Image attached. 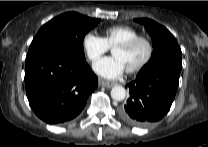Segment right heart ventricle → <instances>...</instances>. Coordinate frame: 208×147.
I'll list each match as a JSON object with an SVG mask.
<instances>
[{"mask_svg": "<svg viewBox=\"0 0 208 147\" xmlns=\"http://www.w3.org/2000/svg\"><path fill=\"white\" fill-rule=\"evenodd\" d=\"M139 36V32L131 26L117 25L105 30L104 39L109 47H116L118 44Z\"/></svg>", "mask_w": 208, "mask_h": 147, "instance_id": "right-heart-ventricle-1", "label": "right heart ventricle"}]
</instances>
